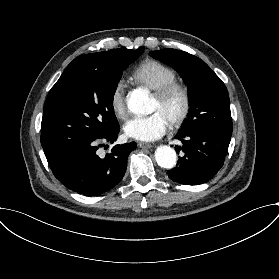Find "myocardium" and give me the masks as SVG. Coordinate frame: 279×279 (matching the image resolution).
<instances>
[{
  "instance_id": "myocardium-1",
  "label": "myocardium",
  "mask_w": 279,
  "mask_h": 279,
  "mask_svg": "<svg viewBox=\"0 0 279 279\" xmlns=\"http://www.w3.org/2000/svg\"><path fill=\"white\" fill-rule=\"evenodd\" d=\"M173 96H178L181 100V110L177 116L170 122L173 128L180 127L188 118L191 110V95L189 88L182 82L174 81L164 85L155 91V97L159 101H165Z\"/></svg>"
}]
</instances>
